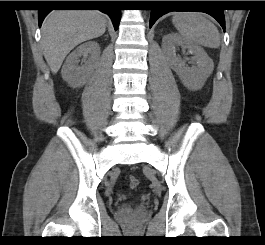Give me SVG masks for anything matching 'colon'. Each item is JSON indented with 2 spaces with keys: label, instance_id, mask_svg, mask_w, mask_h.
Wrapping results in <instances>:
<instances>
[{
  "label": "colon",
  "instance_id": "obj_1",
  "mask_svg": "<svg viewBox=\"0 0 265 245\" xmlns=\"http://www.w3.org/2000/svg\"><path fill=\"white\" fill-rule=\"evenodd\" d=\"M139 180L136 176H131L129 179V186L130 188L134 189L138 186Z\"/></svg>",
  "mask_w": 265,
  "mask_h": 245
}]
</instances>
